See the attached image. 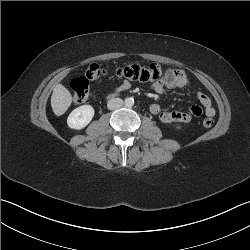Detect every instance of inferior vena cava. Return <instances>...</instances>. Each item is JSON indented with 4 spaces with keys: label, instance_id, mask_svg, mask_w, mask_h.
<instances>
[{
    "label": "inferior vena cava",
    "instance_id": "602c4592",
    "mask_svg": "<svg viewBox=\"0 0 250 250\" xmlns=\"http://www.w3.org/2000/svg\"><path fill=\"white\" fill-rule=\"evenodd\" d=\"M124 104L123 100L120 98H112L108 101L107 107L110 110H115L122 107Z\"/></svg>",
    "mask_w": 250,
    "mask_h": 250
}]
</instances>
